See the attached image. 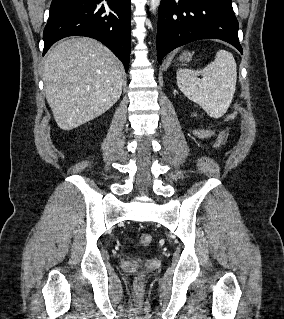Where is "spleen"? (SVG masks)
<instances>
[{"label": "spleen", "mask_w": 284, "mask_h": 319, "mask_svg": "<svg viewBox=\"0 0 284 319\" xmlns=\"http://www.w3.org/2000/svg\"><path fill=\"white\" fill-rule=\"evenodd\" d=\"M199 75L203 78H198ZM236 81L235 59L225 50L217 51L215 60L200 71H177V84L183 94L213 118L226 113L235 93Z\"/></svg>", "instance_id": "spleen-1"}]
</instances>
